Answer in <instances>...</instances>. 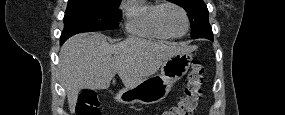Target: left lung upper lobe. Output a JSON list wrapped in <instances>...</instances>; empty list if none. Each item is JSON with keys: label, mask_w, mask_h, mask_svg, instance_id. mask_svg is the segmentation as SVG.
<instances>
[{"label": "left lung upper lobe", "mask_w": 285, "mask_h": 115, "mask_svg": "<svg viewBox=\"0 0 285 115\" xmlns=\"http://www.w3.org/2000/svg\"><path fill=\"white\" fill-rule=\"evenodd\" d=\"M179 6H182L189 15L191 26V37L207 38L212 40L213 33L209 24V12L203 0H169Z\"/></svg>", "instance_id": "1"}]
</instances>
